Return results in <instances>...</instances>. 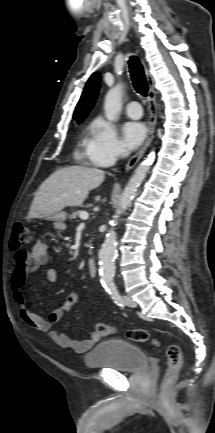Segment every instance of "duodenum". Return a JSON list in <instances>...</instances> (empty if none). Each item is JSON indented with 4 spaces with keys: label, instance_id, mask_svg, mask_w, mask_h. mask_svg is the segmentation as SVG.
I'll list each match as a JSON object with an SVG mask.
<instances>
[{
    "label": "duodenum",
    "instance_id": "obj_1",
    "mask_svg": "<svg viewBox=\"0 0 215 433\" xmlns=\"http://www.w3.org/2000/svg\"><path fill=\"white\" fill-rule=\"evenodd\" d=\"M87 268L91 276L97 277L98 269L95 261L93 259H88Z\"/></svg>",
    "mask_w": 215,
    "mask_h": 433
}]
</instances>
